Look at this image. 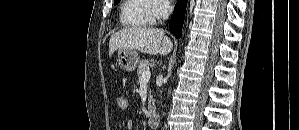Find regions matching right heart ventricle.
<instances>
[{
	"label": "right heart ventricle",
	"instance_id": "right-heart-ventricle-1",
	"mask_svg": "<svg viewBox=\"0 0 299 130\" xmlns=\"http://www.w3.org/2000/svg\"><path fill=\"white\" fill-rule=\"evenodd\" d=\"M154 9L151 0H126L121 8V22L131 27L151 26L156 22Z\"/></svg>",
	"mask_w": 299,
	"mask_h": 130
}]
</instances>
